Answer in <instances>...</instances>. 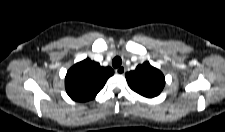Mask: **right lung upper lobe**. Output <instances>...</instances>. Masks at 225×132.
I'll return each instance as SVG.
<instances>
[{
  "label": "right lung upper lobe",
  "mask_w": 225,
  "mask_h": 132,
  "mask_svg": "<svg viewBox=\"0 0 225 132\" xmlns=\"http://www.w3.org/2000/svg\"><path fill=\"white\" fill-rule=\"evenodd\" d=\"M113 74L112 68L101 67L99 63L87 58L68 70L65 77L67 94L75 101H89L98 94Z\"/></svg>",
  "instance_id": "1"
}]
</instances>
